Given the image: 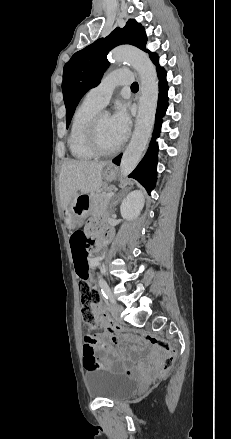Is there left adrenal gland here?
I'll return each instance as SVG.
<instances>
[{"label":"left adrenal gland","instance_id":"a2214340","mask_svg":"<svg viewBox=\"0 0 231 439\" xmlns=\"http://www.w3.org/2000/svg\"><path fill=\"white\" fill-rule=\"evenodd\" d=\"M125 190H122L121 192H119L118 194H116L111 202L110 205V209L112 212L115 211L114 207L116 206V204L121 200L122 195L124 194Z\"/></svg>","mask_w":231,"mask_h":439}]
</instances>
